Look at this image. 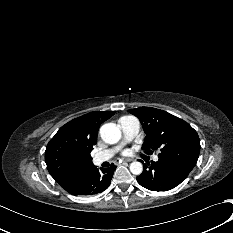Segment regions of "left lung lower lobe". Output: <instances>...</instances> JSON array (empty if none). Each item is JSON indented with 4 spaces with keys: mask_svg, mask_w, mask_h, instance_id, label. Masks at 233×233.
Masks as SVG:
<instances>
[{
    "mask_svg": "<svg viewBox=\"0 0 233 233\" xmlns=\"http://www.w3.org/2000/svg\"><path fill=\"white\" fill-rule=\"evenodd\" d=\"M143 163V162H142ZM144 170L136 179L138 183L152 191H167L175 188L189 175L190 170L175 162L161 159L144 164Z\"/></svg>",
    "mask_w": 233,
    "mask_h": 233,
    "instance_id": "left-lung-lower-lobe-1",
    "label": "left lung lower lobe"
}]
</instances>
